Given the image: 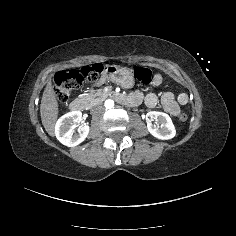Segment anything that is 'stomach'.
I'll return each mask as SVG.
<instances>
[{
    "mask_svg": "<svg viewBox=\"0 0 236 236\" xmlns=\"http://www.w3.org/2000/svg\"><path fill=\"white\" fill-rule=\"evenodd\" d=\"M106 77L124 89H131L135 85V77L132 69L114 65L106 66Z\"/></svg>",
    "mask_w": 236,
    "mask_h": 236,
    "instance_id": "stomach-1",
    "label": "stomach"
}]
</instances>
